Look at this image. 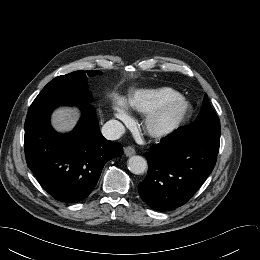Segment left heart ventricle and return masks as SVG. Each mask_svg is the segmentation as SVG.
<instances>
[{"instance_id":"b2bd125f","label":"left heart ventricle","mask_w":260,"mask_h":260,"mask_svg":"<svg viewBox=\"0 0 260 260\" xmlns=\"http://www.w3.org/2000/svg\"><path fill=\"white\" fill-rule=\"evenodd\" d=\"M179 107L177 104H174L170 107H168L158 118L155 120V125H163L171 120H173L176 115L178 114Z\"/></svg>"}]
</instances>
